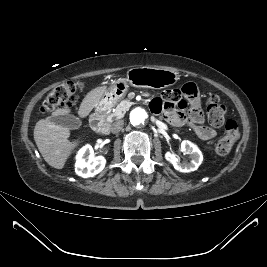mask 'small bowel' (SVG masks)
Listing matches in <instances>:
<instances>
[{
    "mask_svg": "<svg viewBox=\"0 0 267 267\" xmlns=\"http://www.w3.org/2000/svg\"><path fill=\"white\" fill-rule=\"evenodd\" d=\"M150 108L175 126H189L202 140L216 136V131L204 124L201 99L194 83H186L181 89L166 90L162 97L151 100Z\"/></svg>",
    "mask_w": 267,
    "mask_h": 267,
    "instance_id": "1",
    "label": "small bowel"
}]
</instances>
